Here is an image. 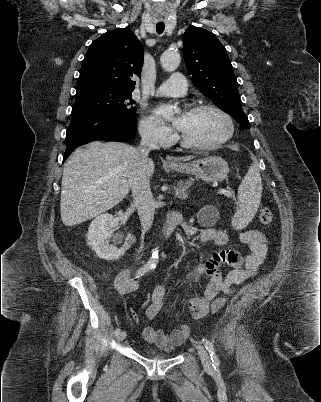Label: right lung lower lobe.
I'll return each instance as SVG.
<instances>
[{
  "mask_svg": "<svg viewBox=\"0 0 321 402\" xmlns=\"http://www.w3.org/2000/svg\"><path fill=\"white\" fill-rule=\"evenodd\" d=\"M136 133V117H111L80 114L71 117L66 132V151L63 162L80 145L95 140L120 141L131 139Z\"/></svg>",
  "mask_w": 321,
  "mask_h": 402,
  "instance_id": "obj_1",
  "label": "right lung lower lobe"
}]
</instances>
